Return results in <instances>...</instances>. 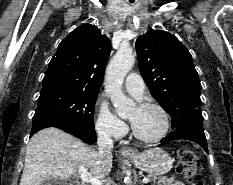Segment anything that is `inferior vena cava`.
I'll use <instances>...</instances> for the list:
<instances>
[{
  "label": "inferior vena cava",
  "instance_id": "obj_1",
  "mask_svg": "<svg viewBox=\"0 0 233 185\" xmlns=\"http://www.w3.org/2000/svg\"><path fill=\"white\" fill-rule=\"evenodd\" d=\"M97 144H98V152L101 155L109 154L111 153L113 149V140L111 138V135L104 130L98 131ZM105 182H106V185L113 184L109 178L106 179Z\"/></svg>",
  "mask_w": 233,
  "mask_h": 185
}]
</instances>
